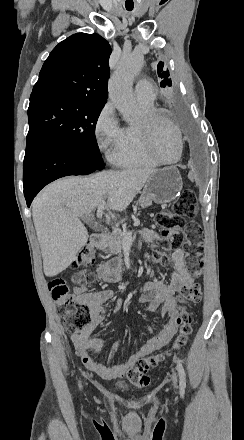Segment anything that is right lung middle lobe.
Wrapping results in <instances>:
<instances>
[{
	"mask_svg": "<svg viewBox=\"0 0 244 440\" xmlns=\"http://www.w3.org/2000/svg\"><path fill=\"white\" fill-rule=\"evenodd\" d=\"M104 104L89 99L30 100L27 140L44 138L99 152L95 127Z\"/></svg>",
	"mask_w": 244,
	"mask_h": 440,
	"instance_id": "obj_1",
	"label": "right lung middle lobe"
}]
</instances>
